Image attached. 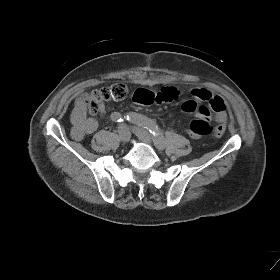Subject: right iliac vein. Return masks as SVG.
Wrapping results in <instances>:
<instances>
[{"instance_id":"right-iliac-vein-1","label":"right iliac vein","mask_w":280,"mask_h":280,"mask_svg":"<svg viewBox=\"0 0 280 280\" xmlns=\"http://www.w3.org/2000/svg\"><path fill=\"white\" fill-rule=\"evenodd\" d=\"M118 133L122 142H128L130 140L131 134L126 125H121L118 129Z\"/></svg>"}]
</instances>
